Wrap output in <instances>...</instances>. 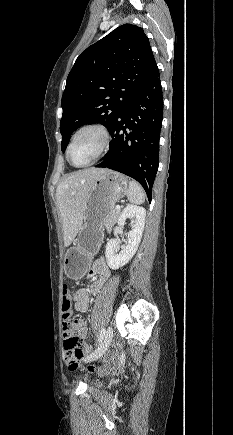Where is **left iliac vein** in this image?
Listing matches in <instances>:
<instances>
[{
  "label": "left iliac vein",
  "mask_w": 233,
  "mask_h": 435,
  "mask_svg": "<svg viewBox=\"0 0 233 435\" xmlns=\"http://www.w3.org/2000/svg\"><path fill=\"white\" fill-rule=\"evenodd\" d=\"M112 338H113V330H112V327L109 326L107 328V331L105 333V336H104L102 342L95 349V351L93 353H91L89 356H87V358L85 359V362H90V361H93V360L100 358L105 353L107 348L109 347V345L112 341Z\"/></svg>",
  "instance_id": "left-iliac-vein-1"
}]
</instances>
